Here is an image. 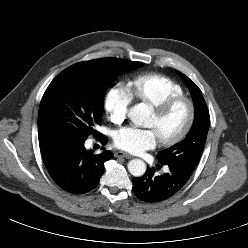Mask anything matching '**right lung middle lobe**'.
<instances>
[{"instance_id":"obj_1","label":"right lung middle lobe","mask_w":248,"mask_h":248,"mask_svg":"<svg viewBox=\"0 0 248 248\" xmlns=\"http://www.w3.org/2000/svg\"><path fill=\"white\" fill-rule=\"evenodd\" d=\"M118 58H103L74 64L61 72L46 89L39 108V138L64 135L86 140L98 134L104 94L119 75L142 66Z\"/></svg>"}]
</instances>
